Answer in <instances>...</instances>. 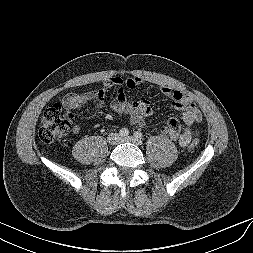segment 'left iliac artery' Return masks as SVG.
Returning a JSON list of instances; mask_svg holds the SVG:
<instances>
[{"mask_svg":"<svg viewBox=\"0 0 253 253\" xmlns=\"http://www.w3.org/2000/svg\"><path fill=\"white\" fill-rule=\"evenodd\" d=\"M134 138L141 141L143 139V134L140 131L134 133Z\"/></svg>","mask_w":253,"mask_h":253,"instance_id":"44dca946","label":"left iliac artery"}]
</instances>
